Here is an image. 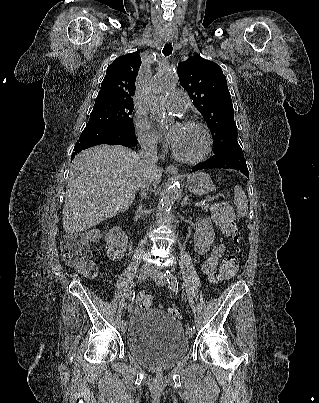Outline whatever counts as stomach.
Returning a JSON list of instances; mask_svg holds the SVG:
<instances>
[{
	"mask_svg": "<svg viewBox=\"0 0 319 403\" xmlns=\"http://www.w3.org/2000/svg\"><path fill=\"white\" fill-rule=\"evenodd\" d=\"M185 178L188 190L194 195H206L214 189L211 177L204 172L189 174Z\"/></svg>",
	"mask_w": 319,
	"mask_h": 403,
	"instance_id": "1",
	"label": "stomach"
}]
</instances>
